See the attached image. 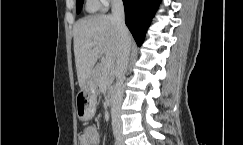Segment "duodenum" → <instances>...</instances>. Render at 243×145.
<instances>
[{
	"mask_svg": "<svg viewBox=\"0 0 243 145\" xmlns=\"http://www.w3.org/2000/svg\"><path fill=\"white\" fill-rule=\"evenodd\" d=\"M108 102L109 104L112 106L114 105V102H115V94L114 92H110L109 95H108Z\"/></svg>",
	"mask_w": 243,
	"mask_h": 145,
	"instance_id": "1",
	"label": "duodenum"
}]
</instances>
